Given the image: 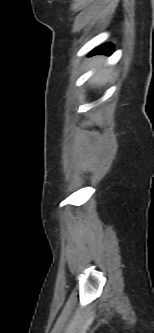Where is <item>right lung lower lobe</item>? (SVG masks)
Returning <instances> with one entry per match:
<instances>
[{"instance_id":"right-lung-lower-lobe-1","label":"right lung lower lobe","mask_w":154,"mask_h":333,"mask_svg":"<svg viewBox=\"0 0 154 333\" xmlns=\"http://www.w3.org/2000/svg\"><path fill=\"white\" fill-rule=\"evenodd\" d=\"M112 51H113V47L111 46V44H105V45L98 47V49H96L93 53L110 54V53H112Z\"/></svg>"}]
</instances>
